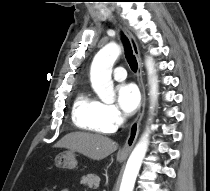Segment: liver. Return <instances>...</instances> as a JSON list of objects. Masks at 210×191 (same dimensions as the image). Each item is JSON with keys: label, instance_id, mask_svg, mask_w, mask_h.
I'll return each mask as SVG.
<instances>
[{"label": "liver", "instance_id": "obj_1", "mask_svg": "<svg viewBox=\"0 0 210 191\" xmlns=\"http://www.w3.org/2000/svg\"><path fill=\"white\" fill-rule=\"evenodd\" d=\"M54 147L79 152L93 160H102L117 150V143L110 138L86 132H72L59 140Z\"/></svg>", "mask_w": 210, "mask_h": 191}]
</instances>
